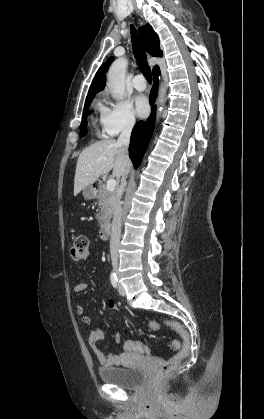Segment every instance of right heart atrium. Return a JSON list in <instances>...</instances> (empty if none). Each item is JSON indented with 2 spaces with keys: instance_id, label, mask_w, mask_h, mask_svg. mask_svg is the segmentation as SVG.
Returning a JSON list of instances; mask_svg holds the SVG:
<instances>
[{
  "instance_id": "d8ad5b80",
  "label": "right heart atrium",
  "mask_w": 264,
  "mask_h": 419,
  "mask_svg": "<svg viewBox=\"0 0 264 419\" xmlns=\"http://www.w3.org/2000/svg\"><path fill=\"white\" fill-rule=\"evenodd\" d=\"M101 124L109 136L131 131L136 124L131 104L125 100L111 103L101 115Z\"/></svg>"
}]
</instances>
